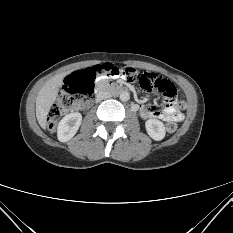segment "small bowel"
<instances>
[{"instance_id":"1","label":"small bowel","mask_w":233,"mask_h":233,"mask_svg":"<svg viewBox=\"0 0 233 233\" xmlns=\"http://www.w3.org/2000/svg\"><path fill=\"white\" fill-rule=\"evenodd\" d=\"M174 94L168 97H173ZM140 115L144 120L156 118L167 123L175 124L183 119V115L174 100L168 102L161 109L152 107L147 102H144L140 107Z\"/></svg>"}]
</instances>
